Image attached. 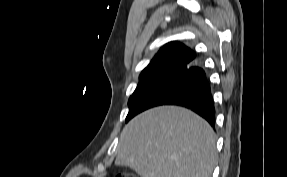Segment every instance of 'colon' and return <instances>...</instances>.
<instances>
[{
  "mask_svg": "<svg viewBox=\"0 0 287 177\" xmlns=\"http://www.w3.org/2000/svg\"><path fill=\"white\" fill-rule=\"evenodd\" d=\"M116 177H136V176H134L132 174H119Z\"/></svg>",
  "mask_w": 287,
  "mask_h": 177,
  "instance_id": "1",
  "label": "colon"
}]
</instances>
